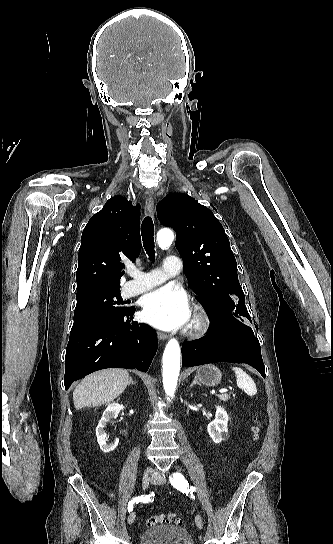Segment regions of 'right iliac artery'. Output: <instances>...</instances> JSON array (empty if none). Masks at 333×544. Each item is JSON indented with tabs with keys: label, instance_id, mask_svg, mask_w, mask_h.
I'll list each match as a JSON object with an SVG mask.
<instances>
[{
	"label": "right iliac artery",
	"instance_id": "right-iliac-artery-1",
	"mask_svg": "<svg viewBox=\"0 0 333 544\" xmlns=\"http://www.w3.org/2000/svg\"><path fill=\"white\" fill-rule=\"evenodd\" d=\"M149 501H151L150 495H146V496L142 495V496L135 497L131 501H129L128 510H129V512H131L133 510L134 504H137L139 502H145L146 503V502H149Z\"/></svg>",
	"mask_w": 333,
	"mask_h": 544
}]
</instances>
